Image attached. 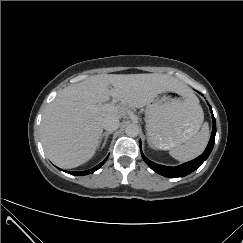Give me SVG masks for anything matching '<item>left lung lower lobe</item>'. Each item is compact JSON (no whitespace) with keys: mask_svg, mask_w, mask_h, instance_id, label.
Returning <instances> with one entry per match:
<instances>
[{"mask_svg":"<svg viewBox=\"0 0 243 243\" xmlns=\"http://www.w3.org/2000/svg\"><path fill=\"white\" fill-rule=\"evenodd\" d=\"M209 108L212 114L213 130L206 150L196 159L177 167H167L153 163L141 153L143 160L154 172H157L158 174L163 175L165 177H183L195 171L208 158L209 154L213 149L216 135V121L212 112V108L210 106Z\"/></svg>","mask_w":243,"mask_h":243,"instance_id":"0a47b994","label":"left lung lower lobe"}]
</instances>
